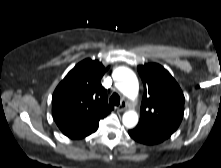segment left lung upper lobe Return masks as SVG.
I'll return each instance as SVG.
<instances>
[{
  "mask_svg": "<svg viewBox=\"0 0 221 168\" xmlns=\"http://www.w3.org/2000/svg\"><path fill=\"white\" fill-rule=\"evenodd\" d=\"M144 85L140 121L135 127L169 138L179 127L184 114V95L178 83L161 65L137 67Z\"/></svg>",
  "mask_w": 221,
  "mask_h": 168,
  "instance_id": "5c2ea615",
  "label": "left lung upper lobe"
}]
</instances>
